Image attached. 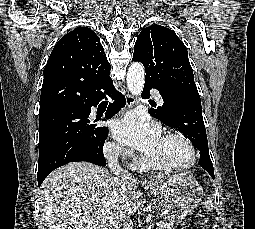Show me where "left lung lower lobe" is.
Masks as SVG:
<instances>
[{
	"label": "left lung lower lobe",
	"instance_id": "0a47b994",
	"mask_svg": "<svg viewBox=\"0 0 255 229\" xmlns=\"http://www.w3.org/2000/svg\"><path fill=\"white\" fill-rule=\"evenodd\" d=\"M155 88L159 91L168 109L170 121L179 126V129L198 136H205L206 130L202 117L201 100L196 97H184L171 89L158 88L152 84L145 83L142 93L143 98H149V90ZM151 116L153 109L149 111ZM156 118V117H155ZM199 165L205 169L214 179V169L206 148L201 149Z\"/></svg>",
	"mask_w": 255,
	"mask_h": 229
}]
</instances>
